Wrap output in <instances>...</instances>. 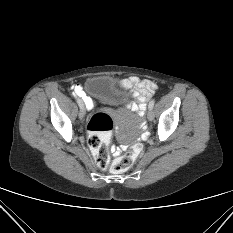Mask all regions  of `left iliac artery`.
<instances>
[{"instance_id": "44dca946", "label": "left iliac artery", "mask_w": 233, "mask_h": 233, "mask_svg": "<svg viewBox=\"0 0 233 233\" xmlns=\"http://www.w3.org/2000/svg\"><path fill=\"white\" fill-rule=\"evenodd\" d=\"M154 104H155V99H153V100H151V101L149 102V105H148L149 109H153Z\"/></svg>"}]
</instances>
